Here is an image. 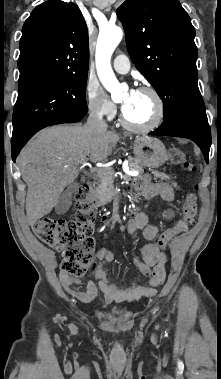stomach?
I'll list each match as a JSON object with an SVG mask.
<instances>
[{
    "label": "stomach",
    "instance_id": "stomach-1",
    "mask_svg": "<svg viewBox=\"0 0 221 379\" xmlns=\"http://www.w3.org/2000/svg\"><path fill=\"white\" fill-rule=\"evenodd\" d=\"M133 152L136 158L145 166L158 168L168 159L164 144L157 138L148 136H137Z\"/></svg>",
    "mask_w": 221,
    "mask_h": 379
}]
</instances>
